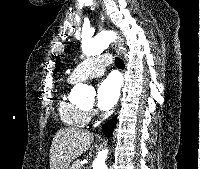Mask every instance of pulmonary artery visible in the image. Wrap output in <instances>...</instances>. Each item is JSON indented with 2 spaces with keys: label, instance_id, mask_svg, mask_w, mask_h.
I'll use <instances>...</instances> for the list:
<instances>
[{
  "label": "pulmonary artery",
  "instance_id": "pulmonary-artery-1",
  "mask_svg": "<svg viewBox=\"0 0 200 169\" xmlns=\"http://www.w3.org/2000/svg\"><path fill=\"white\" fill-rule=\"evenodd\" d=\"M109 64L110 60L106 56L88 58L74 67L68 79L75 82L101 76Z\"/></svg>",
  "mask_w": 200,
  "mask_h": 169
}]
</instances>
